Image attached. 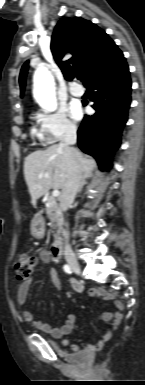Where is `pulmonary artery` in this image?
I'll use <instances>...</instances> for the list:
<instances>
[{"label": "pulmonary artery", "mask_w": 145, "mask_h": 385, "mask_svg": "<svg viewBox=\"0 0 145 385\" xmlns=\"http://www.w3.org/2000/svg\"><path fill=\"white\" fill-rule=\"evenodd\" d=\"M69 90L72 95L77 97H81L84 94V88L78 83L71 84Z\"/></svg>", "instance_id": "1"}]
</instances>
